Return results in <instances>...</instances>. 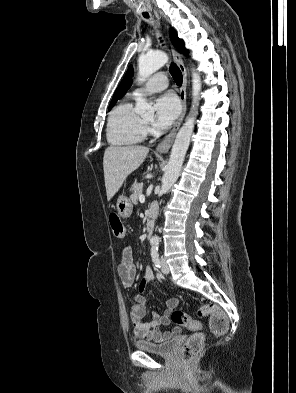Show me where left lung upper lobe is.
<instances>
[{
    "mask_svg": "<svg viewBox=\"0 0 296 393\" xmlns=\"http://www.w3.org/2000/svg\"><path fill=\"white\" fill-rule=\"evenodd\" d=\"M170 33V38L173 43V45L182 53L186 54L188 51L184 47V43L181 39L178 38L176 31L173 28H170L169 30ZM132 72L133 68L132 66H129L128 71L121 81L120 85L116 89L112 101L109 106V110L114 107L115 103L123 96V93L129 89V87L132 84Z\"/></svg>",
    "mask_w": 296,
    "mask_h": 393,
    "instance_id": "obj_1",
    "label": "left lung upper lobe"
}]
</instances>
